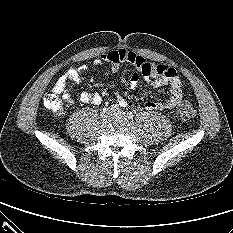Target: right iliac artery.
Segmentation results:
<instances>
[{
    "label": "right iliac artery",
    "mask_w": 233,
    "mask_h": 233,
    "mask_svg": "<svg viewBox=\"0 0 233 233\" xmlns=\"http://www.w3.org/2000/svg\"><path fill=\"white\" fill-rule=\"evenodd\" d=\"M110 109H111L112 112H116V111H118L119 107H118L117 104H113V105H111Z\"/></svg>",
    "instance_id": "82829eb1"
}]
</instances>
